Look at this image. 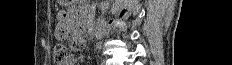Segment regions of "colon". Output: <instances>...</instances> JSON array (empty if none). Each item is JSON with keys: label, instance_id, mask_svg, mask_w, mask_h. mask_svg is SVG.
I'll return each instance as SVG.
<instances>
[{"label": "colon", "instance_id": "5ec220e1", "mask_svg": "<svg viewBox=\"0 0 232 65\" xmlns=\"http://www.w3.org/2000/svg\"><path fill=\"white\" fill-rule=\"evenodd\" d=\"M70 57V49L66 45L57 44L54 50V59L58 65L63 64Z\"/></svg>", "mask_w": 232, "mask_h": 65}]
</instances>
